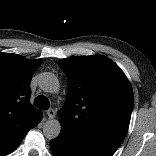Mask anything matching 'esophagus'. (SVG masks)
<instances>
[{"label":"esophagus","instance_id":"esophagus-1","mask_svg":"<svg viewBox=\"0 0 156 156\" xmlns=\"http://www.w3.org/2000/svg\"><path fill=\"white\" fill-rule=\"evenodd\" d=\"M47 115H48V117H49L50 119H52V118L55 117L56 112H55L54 109L50 108V109L47 110Z\"/></svg>","mask_w":156,"mask_h":156}]
</instances>
